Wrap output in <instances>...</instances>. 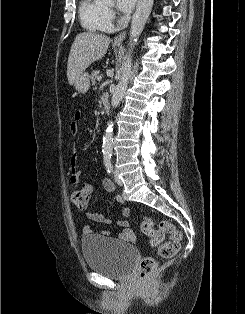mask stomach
Wrapping results in <instances>:
<instances>
[{
	"instance_id": "stomach-1",
	"label": "stomach",
	"mask_w": 245,
	"mask_h": 314,
	"mask_svg": "<svg viewBox=\"0 0 245 314\" xmlns=\"http://www.w3.org/2000/svg\"><path fill=\"white\" fill-rule=\"evenodd\" d=\"M75 89L78 93L84 94L90 87V76L88 73L83 72L74 83Z\"/></svg>"
}]
</instances>
